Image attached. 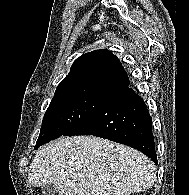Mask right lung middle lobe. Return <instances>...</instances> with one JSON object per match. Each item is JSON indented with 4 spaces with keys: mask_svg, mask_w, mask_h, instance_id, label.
<instances>
[{
    "mask_svg": "<svg viewBox=\"0 0 189 195\" xmlns=\"http://www.w3.org/2000/svg\"><path fill=\"white\" fill-rule=\"evenodd\" d=\"M108 95L92 90L55 93L44 115L35 149L77 127Z\"/></svg>",
    "mask_w": 189,
    "mask_h": 195,
    "instance_id": "right-lung-middle-lobe-1",
    "label": "right lung middle lobe"
}]
</instances>
